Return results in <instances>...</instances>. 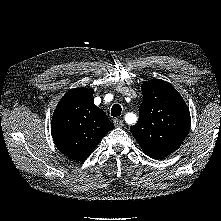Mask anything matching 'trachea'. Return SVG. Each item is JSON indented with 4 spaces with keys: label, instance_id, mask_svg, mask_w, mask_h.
Returning <instances> with one entry per match:
<instances>
[{
    "label": "trachea",
    "instance_id": "3493384b",
    "mask_svg": "<svg viewBox=\"0 0 221 221\" xmlns=\"http://www.w3.org/2000/svg\"><path fill=\"white\" fill-rule=\"evenodd\" d=\"M122 108L119 104H114L111 108V115L113 117H118L121 115Z\"/></svg>",
    "mask_w": 221,
    "mask_h": 221
}]
</instances>
